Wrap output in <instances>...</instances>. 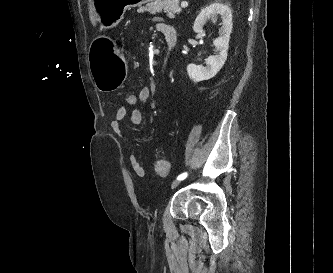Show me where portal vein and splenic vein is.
I'll list each match as a JSON object with an SVG mask.
<instances>
[{"instance_id":"portal-vein-and-splenic-vein-1","label":"portal vein and splenic vein","mask_w":333,"mask_h":273,"mask_svg":"<svg viewBox=\"0 0 333 273\" xmlns=\"http://www.w3.org/2000/svg\"><path fill=\"white\" fill-rule=\"evenodd\" d=\"M187 6H188V2H186V1L181 2V7H187Z\"/></svg>"}]
</instances>
